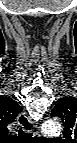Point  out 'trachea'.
<instances>
[{"label": "trachea", "mask_w": 77, "mask_h": 143, "mask_svg": "<svg viewBox=\"0 0 77 143\" xmlns=\"http://www.w3.org/2000/svg\"><path fill=\"white\" fill-rule=\"evenodd\" d=\"M19 136L20 137H25V138H31L32 137V134L31 133H26L24 132L21 128L19 130Z\"/></svg>", "instance_id": "trachea-1"}]
</instances>
